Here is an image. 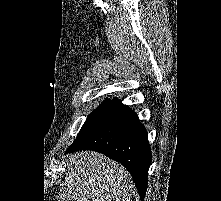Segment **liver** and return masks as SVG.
<instances>
[{
	"mask_svg": "<svg viewBox=\"0 0 221 201\" xmlns=\"http://www.w3.org/2000/svg\"><path fill=\"white\" fill-rule=\"evenodd\" d=\"M69 160L59 201H131L132 178L119 163L92 151L72 154Z\"/></svg>",
	"mask_w": 221,
	"mask_h": 201,
	"instance_id": "obj_1",
	"label": "liver"
}]
</instances>
